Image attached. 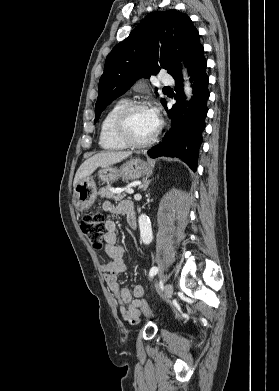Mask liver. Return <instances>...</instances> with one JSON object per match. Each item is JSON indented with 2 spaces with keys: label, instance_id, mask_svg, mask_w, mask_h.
I'll use <instances>...</instances> for the list:
<instances>
[{
  "label": "liver",
  "instance_id": "liver-1",
  "mask_svg": "<svg viewBox=\"0 0 279 391\" xmlns=\"http://www.w3.org/2000/svg\"><path fill=\"white\" fill-rule=\"evenodd\" d=\"M128 152H101L85 160L76 172L73 187L81 180L90 176L98 167L113 165L126 159Z\"/></svg>",
  "mask_w": 279,
  "mask_h": 391
}]
</instances>
